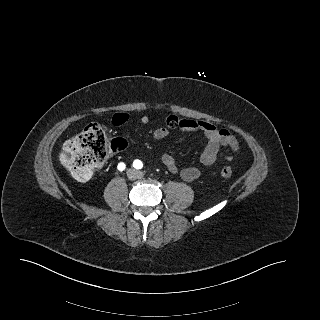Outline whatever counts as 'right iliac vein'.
Segmentation results:
<instances>
[{
	"label": "right iliac vein",
	"instance_id": "obj_1",
	"mask_svg": "<svg viewBox=\"0 0 320 320\" xmlns=\"http://www.w3.org/2000/svg\"><path fill=\"white\" fill-rule=\"evenodd\" d=\"M127 176H128L130 179L135 178V172H134L133 170H129V171L127 172Z\"/></svg>",
	"mask_w": 320,
	"mask_h": 320
}]
</instances>
